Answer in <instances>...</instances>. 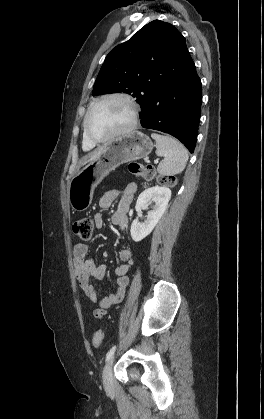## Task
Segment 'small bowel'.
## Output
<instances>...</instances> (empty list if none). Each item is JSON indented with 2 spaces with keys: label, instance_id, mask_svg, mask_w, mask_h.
Masks as SVG:
<instances>
[{
  "label": "small bowel",
  "instance_id": "small-bowel-1",
  "mask_svg": "<svg viewBox=\"0 0 264 419\" xmlns=\"http://www.w3.org/2000/svg\"><path fill=\"white\" fill-rule=\"evenodd\" d=\"M137 190L135 183L127 184L123 189L111 188L106 190L99 201L102 209H108L112 203L119 198L117 210L111 217V222L125 233L128 225V210L133 201L134 194ZM94 223L98 229L104 227L105 222L102 214L98 213L94 216ZM75 278L80 288L90 302L96 306L94 316L101 319L107 311L115 304L119 303L124 295L125 289L129 283L128 272L135 262V256L130 247H125L120 252V263L115 268L117 276V290L115 293L108 295L103 299L98 298V293L92 280H102L107 272L106 265H96L92 258L89 257V247L86 244L79 243L75 245L73 250Z\"/></svg>",
  "mask_w": 264,
  "mask_h": 419
}]
</instances>
